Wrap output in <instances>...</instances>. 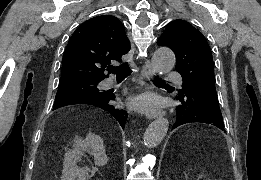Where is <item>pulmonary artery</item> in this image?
<instances>
[{"mask_svg": "<svg viewBox=\"0 0 261 180\" xmlns=\"http://www.w3.org/2000/svg\"><path fill=\"white\" fill-rule=\"evenodd\" d=\"M164 77H181V72H164ZM166 83H181V78H166ZM103 85L106 87H114L115 83L112 80H105Z\"/></svg>", "mask_w": 261, "mask_h": 180, "instance_id": "1", "label": "pulmonary artery"}]
</instances>
